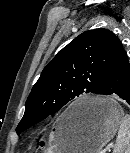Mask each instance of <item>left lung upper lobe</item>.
I'll list each match as a JSON object with an SVG mask.
<instances>
[{
  "label": "left lung upper lobe",
  "instance_id": "left-lung-upper-lobe-1",
  "mask_svg": "<svg viewBox=\"0 0 130 153\" xmlns=\"http://www.w3.org/2000/svg\"><path fill=\"white\" fill-rule=\"evenodd\" d=\"M107 29L86 31L76 37L46 65L26 101L17 134L82 94H98L106 69L121 47Z\"/></svg>",
  "mask_w": 130,
  "mask_h": 153
}]
</instances>
